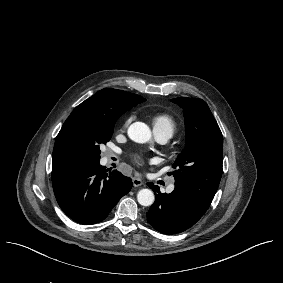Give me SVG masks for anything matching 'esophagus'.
<instances>
[{"mask_svg":"<svg viewBox=\"0 0 283 283\" xmlns=\"http://www.w3.org/2000/svg\"><path fill=\"white\" fill-rule=\"evenodd\" d=\"M132 183H133L134 187H139V186L143 185V181L139 178H133Z\"/></svg>","mask_w":283,"mask_h":283,"instance_id":"obj_1","label":"esophagus"}]
</instances>
